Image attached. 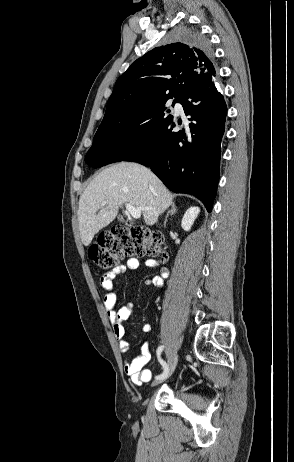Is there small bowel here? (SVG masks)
<instances>
[{
	"instance_id": "1",
	"label": "small bowel",
	"mask_w": 294,
	"mask_h": 462,
	"mask_svg": "<svg viewBox=\"0 0 294 462\" xmlns=\"http://www.w3.org/2000/svg\"><path fill=\"white\" fill-rule=\"evenodd\" d=\"M142 264L146 268H153L158 266V263L153 259H143L142 261L137 258H131L127 260L125 264L118 265L109 272L103 274L100 278V285L105 291L104 295V307L110 319L113 327V333L117 339L118 348L122 353L129 350V341L125 338V327L124 322L127 321L133 313V304L125 303L116 308V278L124 274L128 270H135ZM169 271L166 267H159V274L146 280V284L153 286L154 288L161 289L164 284V280L168 277ZM144 332L150 330V325L145 324L142 327ZM150 351L148 342H144L140 348V354L133 359H126L123 364L124 372L130 377L131 381L136 385H142L150 381L152 373L149 369L145 368V365L150 360Z\"/></svg>"
}]
</instances>
